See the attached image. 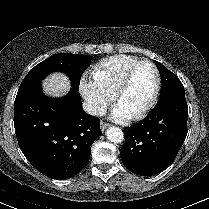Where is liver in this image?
I'll list each match as a JSON object with an SVG mask.
<instances>
[{"label": "liver", "mask_w": 209, "mask_h": 209, "mask_svg": "<svg viewBox=\"0 0 209 209\" xmlns=\"http://www.w3.org/2000/svg\"><path fill=\"white\" fill-rule=\"evenodd\" d=\"M42 86L45 95L62 97L68 93L70 81L65 74L55 72L44 79Z\"/></svg>", "instance_id": "liver-1"}]
</instances>
